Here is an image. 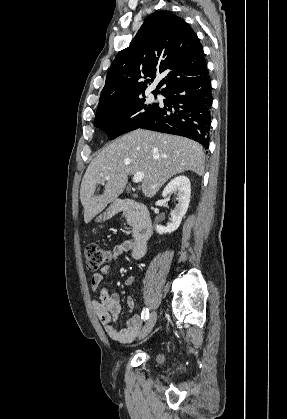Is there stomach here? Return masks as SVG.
Here are the masks:
<instances>
[{"mask_svg":"<svg viewBox=\"0 0 287 419\" xmlns=\"http://www.w3.org/2000/svg\"><path fill=\"white\" fill-rule=\"evenodd\" d=\"M114 214V209L113 207H108L104 212L99 213L95 218L94 221L95 222H102L105 221L107 219H109L110 217H112Z\"/></svg>","mask_w":287,"mask_h":419,"instance_id":"obj_1","label":"stomach"}]
</instances>
